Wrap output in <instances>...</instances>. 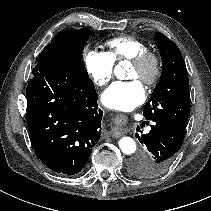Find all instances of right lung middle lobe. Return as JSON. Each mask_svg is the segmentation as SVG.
Returning <instances> with one entry per match:
<instances>
[{
	"label": "right lung middle lobe",
	"mask_w": 211,
	"mask_h": 211,
	"mask_svg": "<svg viewBox=\"0 0 211 211\" xmlns=\"http://www.w3.org/2000/svg\"><path fill=\"white\" fill-rule=\"evenodd\" d=\"M93 31L89 29L63 30L49 43L42 55H55L79 75L89 78L82 63L84 44Z\"/></svg>",
	"instance_id": "right-lung-middle-lobe-1"
}]
</instances>
